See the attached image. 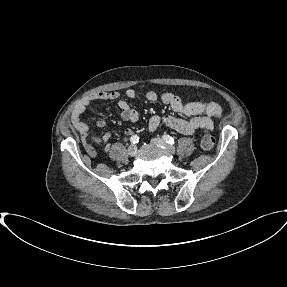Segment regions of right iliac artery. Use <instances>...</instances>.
Wrapping results in <instances>:
<instances>
[{"instance_id":"obj_1","label":"right iliac artery","mask_w":287,"mask_h":287,"mask_svg":"<svg viewBox=\"0 0 287 287\" xmlns=\"http://www.w3.org/2000/svg\"><path fill=\"white\" fill-rule=\"evenodd\" d=\"M130 142L133 143V144H136L139 142V136L138 135H133L131 138H130Z\"/></svg>"}]
</instances>
